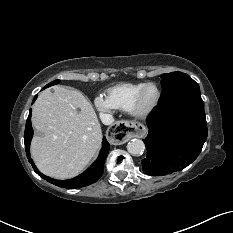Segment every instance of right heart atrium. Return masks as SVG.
Wrapping results in <instances>:
<instances>
[{
	"instance_id": "right-heart-atrium-1",
	"label": "right heart atrium",
	"mask_w": 233,
	"mask_h": 233,
	"mask_svg": "<svg viewBox=\"0 0 233 233\" xmlns=\"http://www.w3.org/2000/svg\"><path fill=\"white\" fill-rule=\"evenodd\" d=\"M94 104L96 109L101 114H108L113 111V107L110 105V103L107 101V99L103 96H97L94 100Z\"/></svg>"
}]
</instances>
